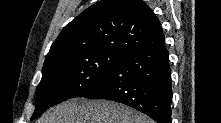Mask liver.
<instances>
[{
    "label": "liver",
    "instance_id": "liver-1",
    "mask_svg": "<svg viewBox=\"0 0 221 123\" xmlns=\"http://www.w3.org/2000/svg\"><path fill=\"white\" fill-rule=\"evenodd\" d=\"M37 123H153L136 110L106 100L71 99L51 108Z\"/></svg>",
    "mask_w": 221,
    "mask_h": 123
}]
</instances>
